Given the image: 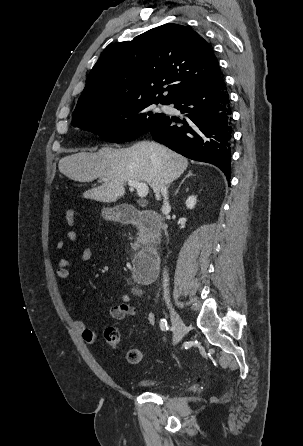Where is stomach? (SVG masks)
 <instances>
[{
    "instance_id": "obj_1",
    "label": "stomach",
    "mask_w": 303,
    "mask_h": 446,
    "mask_svg": "<svg viewBox=\"0 0 303 446\" xmlns=\"http://www.w3.org/2000/svg\"><path fill=\"white\" fill-rule=\"evenodd\" d=\"M102 215L104 218L108 219V220H114L118 218V213L115 212L114 209H104L102 211Z\"/></svg>"
}]
</instances>
